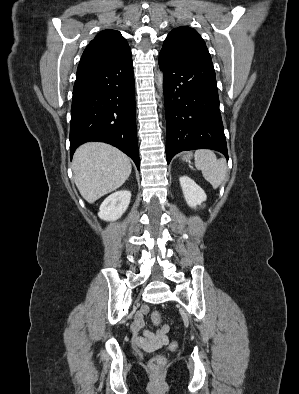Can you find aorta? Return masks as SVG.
<instances>
[{
    "label": "aorta",
    "mask_w": 299,
    "mask_h": 394,
    "mask_svg": "<svg viewBox=\"0 0 299 394\" xmlns=\"http://www.w3.org/2000/svg\"><path fill=\"white\" fill-rule=\"evenodd\" d=\"M158 88L160 92L163 91V72L159 71L158 72V82H157Z\"/></svg>",
    "instance_id": "aorta-1"
}]
</instances>
